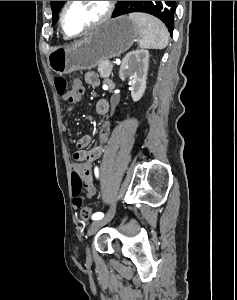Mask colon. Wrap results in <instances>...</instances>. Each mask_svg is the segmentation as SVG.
Instances as JSON below:
<instances>
[{"label":"colon","mask_w":237,"mask_h":300,"mask_svg":"<svg viewBox=\"0 0 237 300\" xmlns=\"http://www.w3.org/2000/svg\"><path fill=\"white\" fill-rule=\"evenodd\" d=\"M56 91L59 95L66 98L71 104H76L81 101L84 89L80 87L75 91L68 90V82L63 77H57L54 79ZM82 190V177L76 170L72 171V192L74 195L73 204L76 208L81 209V215L83 218H88L91 214V209L84 205L85 198L81 195Z\"/></svg>","instance_id":"obj_1"}]
</instances>
